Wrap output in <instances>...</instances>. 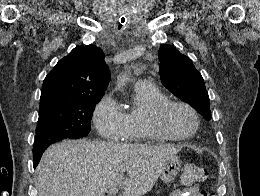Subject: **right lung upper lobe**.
<instances>
[{
    "mask_svg": "<svg viewBox=\"0 0 260 196\" xmlns=\"http://www.w3.org/2000/svg\"><path fill=\"white\" fill-rule=\"evenodd\" d=\"M110 81L103 51L77 46L61 59L43 82L40 106L86 96H103Z\"/></svg>",
    "mask_w": 260,
    "mask_h": 196,
    "instance_id": "1",
    "label": "right lung upper lobe"
}]
</instances>
